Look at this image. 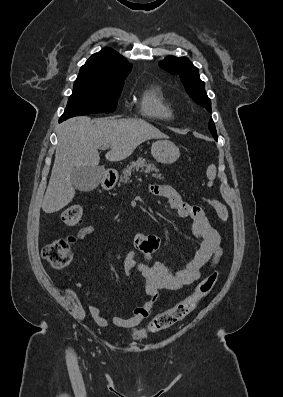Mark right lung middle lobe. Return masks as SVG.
Wrapping results in <instances>:
<instances>
[{"instance_id": "right-lung-middle-lobe-1", "label": "right lung middle lobe", "mask_w": 283, "mask_h": 397, "mask_svg": "<svg viewBox=\"0 0 283 397\" xmlns=\"http://www.w3.org/2000/svg\"><path fill=\"white\" fill-rule=\"evenodd\" d=\"M123 85L124 80L101 81L78 76L60 122L74 116L114 111Z\"/></svg>"}]
</instances>
